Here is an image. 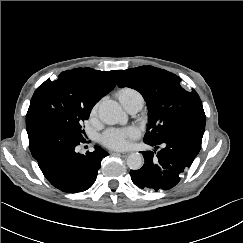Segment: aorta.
Returning <instances> with one entry per match:
<instances>
[{
    "label": "aorta",
    "instance_id": "762f6f07",
    "mask_svg": "<svg viewBox=\"0 0 243 243\" xmlns=\"http://www.w3.org/2000/svg\"><path fill=\"white\" fill-rule=\"evenodd\" d=\"M98 115L100 120L108 125L127 122V117L121 106L113 100L103 101L99 106ZM143 163V156L138 152L131 153L127 157V165L132 170H139Z\"/></svg>",
    "mask_w": 243,
    "mask_h": 243
}]
</instances>
